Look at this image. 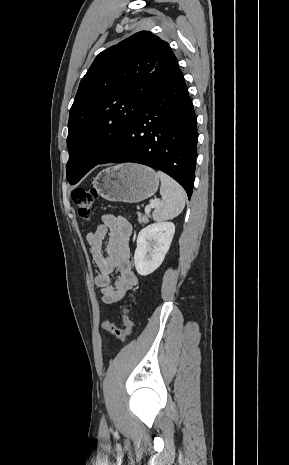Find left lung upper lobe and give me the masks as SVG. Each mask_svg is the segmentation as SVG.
Returning <instances> with one entry per match:
<instances>
[{
  "mask_svg": "<svg viewBox=\"0 0 289 465\" xmlns=\"http://www.w3.org/2000/svg\"><path fill=\"white\" fill-rule=\"evenodd\" d=\"M177 69L168 43L147 31L97 55L70 109L66 174L71 184L115 147L145 97Z\"/></svg>",
  "mask_w": 289,
  "mask_h": 465,
  "instance_id": "1",
  "label": "left lung upper lobe"
}]
</instances>
